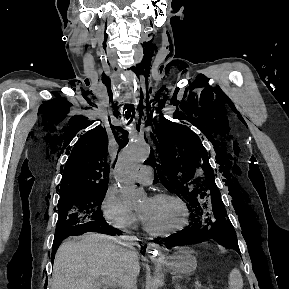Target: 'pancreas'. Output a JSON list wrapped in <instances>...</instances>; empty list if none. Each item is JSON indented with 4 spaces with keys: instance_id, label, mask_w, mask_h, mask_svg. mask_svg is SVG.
Instances as JSON below:
<instances>
[{
    "instance_id": "1",
    "label": "pancreas",
    "mask_w": 289,
    "mask_h": 289,
    "mask_svg": "<svg viewBox=\"0 0 289 289\" xmlns=\"http://www.w3.org/2000/svg\"><path fill=\"white\" fill-rule=\"evenodd\" d=\"M197 289V288H196ZM199 289H202V287L201 288H199ZM205 289H211V288H205Z\"/></svg>"
}]
</instances>
